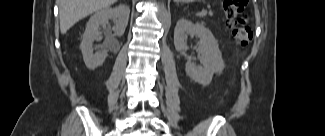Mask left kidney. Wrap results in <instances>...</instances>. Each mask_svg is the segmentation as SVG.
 Returning a JSON list of instances; mask_svg holds the SVG:
<instances>
[{
    "label": "left kidney",
    "mask_w": 325,
    "mask_h": 136,
    "mask_svg": "<svg viewBox=\"0 0 325 136\" xmlns=\"http://www.w3.org/2000/svg\"><path fill=\"white\" fill-rule=\"evenodd\" d=\"M187 35L199 38L198 51L201 53V67L196 66L189 58L186 63V72L195 82L209 85L213 75L224 69V61L212 32L203 23H192L187 19H180L174 30V45L178 51H186Z\"/></svg>",
    "instance_id": "1"
}]
</instances>
